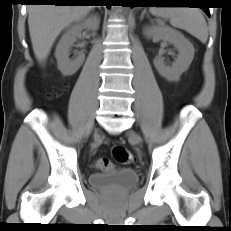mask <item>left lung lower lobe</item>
I'll return each instance as SVG.
<instances>
[{
  "label": "left lung lower lobe",
  "instance_id": "left-lung-lower-lobe-1",
  "mask_svg": "<svg viewBox=\"0 0 231 231\" xmlns=\"http://www.w3.org/2000/svg\"><path fill=\"white\" fill-rule=\"evenodd\" d=\"M135 4V6H151V4L159 3L158 0H131ZM205 5V4H203ZM205 13L210 16L208 7H201Z\"/></svg>",
  "mask_w": 231,
  "mask_h": 231
}]
</instances>
